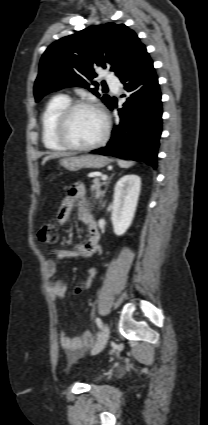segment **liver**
<instances>
[{
	"instance_id": "6515ba94",
	"label": "liver",
	"mask_w": 208,
	"mask_h": 425,
	"mask_svg": "<svg viewBox=\"0 0 208 425\" xmlns=\"http://www.w3.org/2000/svg\"><path fill=\"white\" fill-rule=\"evenodd\" d=\"M62 155H60V154H58V153H52V154H50V155H48V156H46V157H44L43 158V160H42V165H44L48 160H50V159H54V158H59V157H61Z\"/></svg>"
}]
</instances>
